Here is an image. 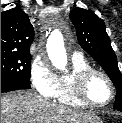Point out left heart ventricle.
<instances>
[{
	"mask_svg": "<svg viewBox=\"0 0 122 123\" xmlns=\"http://www.w3.org/2000/svg\"><path fill=\"white\" fill-rule=\"evenodd\" d=\"M88 95L93 101L103 103L110 98L111 89L104 78L96 76L89 83Z\"/></svg>",
	"mask_w": 122,
	"mask_h": 123,
	"instance_id": "b2bd125f",
	"label": "left heart ventricle"
}]
</instances>
